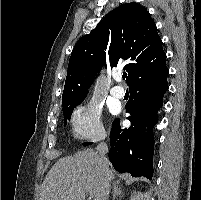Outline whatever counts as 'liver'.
Returning <instances> with one entry per match:
<instances>
[{"label": "liver", "instance_id": "1", "mask_svg": "<svg viewBox=\"0 0 201 200\" xmlns=\"http://www.w3.org/2000/svg\"><path fill=\"white\" fill-rule=\"evenodd\" d=\"M114 178L109 164L106 173L101 169L95 151H79L53 165L43 181L40 200H85L86 194L94 200H107Z\"/></svg>", "mask_w": 201, "mask_h": 200}]
</instances>
